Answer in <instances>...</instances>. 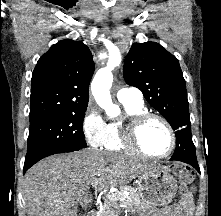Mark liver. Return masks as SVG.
I'll return each instance as SVG.
<instances>
[{
  "mask_svg": "<svg viewBox=\"0 0 221 216\" xmlns=\"http://www.w3.org/2000/svg\"><path fill=\"white\" fill-rule=\"evenodd\" d=\"M154 163L99 150L47 157L25 175L23 198L28 216H78V203H91L90 187L124 186L157 167Z\"/></svg>",
  "mask_w": 221,
  "mask_h": 216,
  "instance_id": "1",
  "label": "liver"
}]
</instances>
